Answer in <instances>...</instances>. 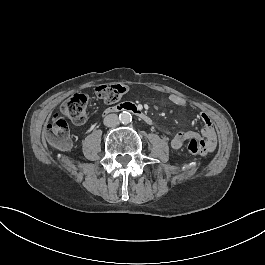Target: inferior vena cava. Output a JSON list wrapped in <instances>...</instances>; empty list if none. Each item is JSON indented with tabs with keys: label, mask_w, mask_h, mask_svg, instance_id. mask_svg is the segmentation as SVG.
Returning <instances> with one entry per match:
<instances>
[{
	"label": "inferior vena cava",
	"mask_w": 265,
	"mask_h": 265,
	"mask_svg": "<svg viewBox=\"0 0 265 265\" xmlns=\"http://www.w3.org/2000/svg\"><path fill=\"white\" fill-rule=\"evenodd\" d=\"M118 123H119V119L116 114H109L104 118V125L106 127H114Z\"/></svg>",
	"instance_id": "obj_1"
}]
</instances>
